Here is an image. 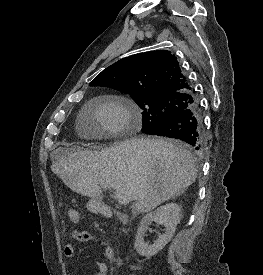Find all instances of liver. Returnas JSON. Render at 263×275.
Segmentation results:
<instances>
[{"label":"liver","mask_w":263,"mask_h":275,"mask_svg":"<svg viewBox=\"0 0 263 275\" xmlns=\"http://www.w3.org/2000/svg\"><path fill=\"white\" fill-rule=\"evenodd\" d=\"M51 170L72 191L90 198L99 183L134 200L132 213H146L182 194L197 177L189 151L161 138H131L100 151L59 150Z\"/></svg>","instance_id":"6515ba94"}]
</instances>
